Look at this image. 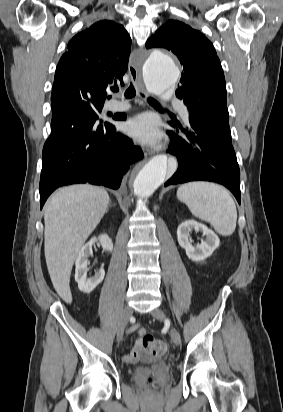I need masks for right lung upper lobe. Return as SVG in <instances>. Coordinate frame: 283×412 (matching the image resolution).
Segmentation results:
<instances>
[{
	"mask_svg": "<svg viewBox=\"0 0 283 412\" xmlns=\"http://www.w3.org/2000/svg\"><path fill=\"white\" fill-rule=\"evenodd\" d=\"M131 38L122 25L103 20L78 33L68 43L56 68L51 95L52 115L82 100L104 103L109 85L127 71Z\"/></svg>",
	"mask_w": 283,
	"mask_h": 412,
	"instance_id": "right-lung-upper-lobe-1",
	"label": "right lung upper lobe"
}]
</instances>
